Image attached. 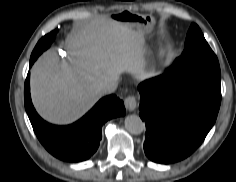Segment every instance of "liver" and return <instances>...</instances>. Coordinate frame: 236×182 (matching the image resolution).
Here are the masks:
<instances>
[{"label": "liver", "mask_w": 236, "mask_h": 182, "mask_svg": "<svg viewBox=\"0 0 236 182\" xmlns=\"http://www.w3.org/2000/svg\"><path fill=\"white\" fill-rule=\"evenodd\" d=\"M142 32L112 19H100L72 31L67 50L70 65L53 53L40 57L31 69V95L38 113L56 124L71 123L102 96L100 86L129 72L142 81L147 72Z\"/></svg>", "instance_id": "obj_1"}]
</instances>
